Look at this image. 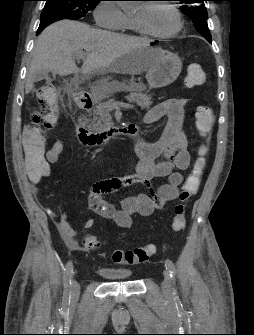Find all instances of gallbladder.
<instances>
[{
    "instance_id": "gallbladder-1",
    "label": "gallbladder",
    "mask_w": 254,
    "mask_h": 335,
    "mask_svg": "<svg viewBox=\"0 0 254 335\" xmlns=\"http://www.w3.org/2000/svg\"><path fill=\"white\" fill-rule=\"evenodd\" d=\"M48 78H49V77H48V74H47V73H40V74H37L36 77H35V79H36L37 81L42 80V79H48Z\"/></svg>"
}]
</instances>
